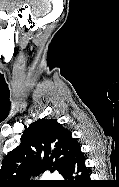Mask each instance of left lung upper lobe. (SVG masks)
I'll list each match as a JSON object with an SVG mask.
<instances>
[{
  "label": "left lung upper lobe",
  "instance_id": "obj_1",
  "mask_svg": "<svg viewBox=\"0 0 119 187\" xmlns=\"http://www.w3.org/2000/svg\"><path fill=\"white\" fill-rule=\"evenodd\" d=\"M78 142L54 119H40L25 126L20 144L10 151L0 169V187L29 186L30 173L45 170L63 175Z\"/></svg>",
  "mask_w": 119,
  "mask_h": 187
}]
</instances>
